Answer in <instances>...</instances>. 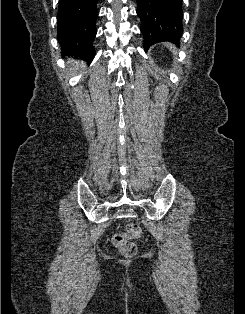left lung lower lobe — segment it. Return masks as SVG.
Listing matches in <instances>:
<instances>
[{
	"mask_svg": "<svg viewBox=\"0 0 245 314\" xmlns=\"http://www.w3.org/2000/svg\"><path fill=\"white\" fill-rule=\"evenodd\" d=\"M144 47L160 41L177 43L183 33L182 0H137Z\"/></svg>",
	"mask_w": 245,
	"mask_h": 314,
	"instance_id": "left-lung-lower-lobe-1",
	"label": "left lung lower lobe"
}]
</instances>
